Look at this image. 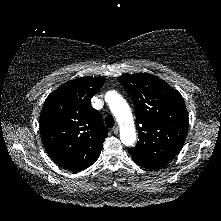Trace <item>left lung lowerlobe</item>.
<instances>
[{
	"label": "left lung lower lobe",
	"mask_w": 221,
	"mask_h": 221,
	"mask_svg": "<svg viewBox=\"0 0 221 221\" xmlns=\"http://www.w3.org/2000/svg\"><path fill=\"white\" fill-rule=\"evenodd\" d=\"M138 165L146 168V169H151V170H154V169H157V168H160L164 165H161V164H156V163H149V162H144V161H136L134 160Z\"/></svg>",
	"instance_id": "1"
}]
</instances>
